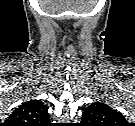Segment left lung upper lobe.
Masks as SVG:
<instances>
[{
	"label": "left lung upper lobe",
	"mask_w": 135,
	"mask_h": 126,
	"mask_svg": "<svg viewBox=\"0 0 135 126\" xmlns=\"http://www.w3.org/2000/svg\"><path fill=\"white\" fill-rule=\"evenodd\" d=\"M82 122L85 126H123L125 118L107 104L94 102L83 111Z\"/></svg>",
	"instance_id": "obj_1"
}]
</instances>
